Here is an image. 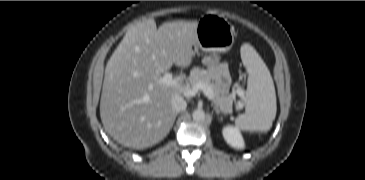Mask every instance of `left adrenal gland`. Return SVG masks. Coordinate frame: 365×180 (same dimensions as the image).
I'll return each instance as SVG.
<instances>
[{"mask_svg":"<svg viewBox=\"0 0 365 180\" xmlns=\"http://www.w3.org/2000/svg\"><path fill=\"white\" fill-rule=\"evenodd\" d=\"M214 110H215V113H216V115L219 117V114L220 113H223L224 115H226V113L225 112H222V111H220L219 110V108L217 107V106H214Z\"/></svg>","mask_w":365,"mask_h":180,"instance_id":"a2214340","label":"left adrenal gland"}]
</instances>
